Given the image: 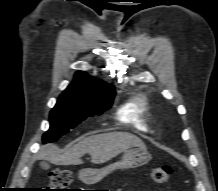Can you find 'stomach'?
<instances>
[{"instance_id": "stomach-1", "label": "stomach", "mask_w": 218, "mask_h": 191, "mask_svg": "<svg viewBox=\"0 0 218 191\" xmlns=\"http://www.w3.org/2000/svg\"><path fill=\"white\" fill-rule=\"evenodd\" d=\"M151 155L143 149H130L124 152L120 161L99 169H84L79 172V178L86 184L101 181L110 172L116 169H129L147 164Z\"/></svg>"}]
</instances>
